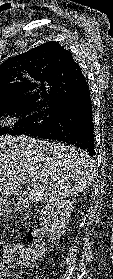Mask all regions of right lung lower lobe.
<instances>
[{
    "label": "right lung lower lobe",
    "instance_id": "1",
    "mask_svg": "<svg viewBox=\"0 0 113 279\" xmlns=\"http://www.w3.org/2000/svg\"><path fill=\"white\" fill-rule=\"evenodd\" d=\"M25 135L67 143L94 156V123L88 84L75 99L60 107L54 121L27 131Z\"/></svg>",
    "mask_w": 113,
    "mask_h": 279
}]
</instances>
